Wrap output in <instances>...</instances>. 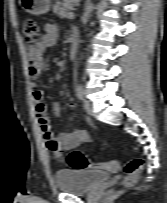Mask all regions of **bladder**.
<instances>
[{"mask_svg":"<svg viewBox=\"0 0 167 203\" xmlns=\"http://www.w3.org/2000/svg\"><path fill=\"white\" fill-rule=\"evenodd\" d=\"M110 178L108 172L93 169H61L54 174L57 189L68 194L91 192Z\"/></svg>","mask_w":167,"mask_h":203,"instance_id":"bladder-1","label":"bladder"}]
</instances>
